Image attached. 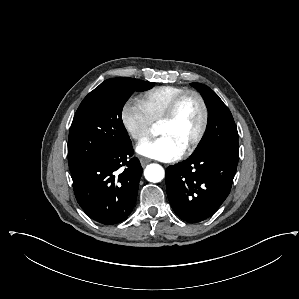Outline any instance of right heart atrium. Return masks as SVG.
Instances as JSON below:
<instances>
[{
	"instance_id": "right-heart-atrium-1",
	"label": "right heart atrium",
	"mask_w": 299,
	"mask_h": 299,
	"mask_svg": "<svg viewBox=\"0 0 299 299\" xmlns=\"http://www.w3.org/2000/svg\"><path fill=\"white\" fill-rule=\"evenodd\" d=\"M121 122L128 136L136 142L147 138L153 127L143 108L135 101H127L123 104Z\"/></svg>"
}]
</instances>
